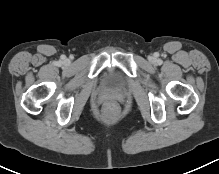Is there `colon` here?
<instances>
[{"label":"colon","instance_id":"1","mask_svg":"<svg viewBox=\"0 0 219 174\" xmlns=\"http://www.w3.org/2000/svg\"><path fill=\"white\" fill-rule=\"evenodd\" d=\"M102 111L107 120H114L120 113V107L116 102L110 101L104 104Z\"/></svg>","mask_w":219,"mask_h":174}]
</instances>
